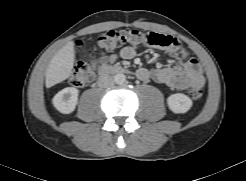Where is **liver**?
<instances>
[{"label": "liver", "mask_w": 246, "mask_h": 181, "mask_svg": "<svg viewBox=\"0 0 246 181\" xmlns=\"http://www.w3.org/2000/svg\"><path fill=\"white\" fill-rule=\"evenodd\" d=\"M74 61V43L70 41L65 44L50 61L45 75L46 87L50 88L68 79L72 74Z\"/></svg>", "instance_id": "obj_1"}]
</instances>
